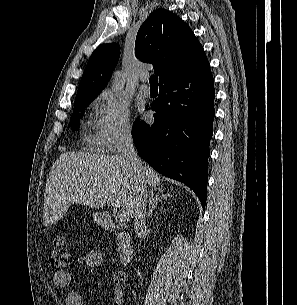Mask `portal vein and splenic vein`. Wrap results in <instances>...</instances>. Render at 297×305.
I'll use <instances>...</instances> for the list:
<instances>
[{"label": "portal vein and splenic vein", "instance_id": "18ae733b", "mask_svg": "<svg viewBox=\"0 0 297 305\" xmlns=\"http://www.w3.org/2000/svg\"><path fill=\"white\" fill-rule=\"evenodd\" d=\"M117 218H118L121 222H123V221H126V220H127L128 215H127L126 211L120 210V211L117 213Z\"/></svg>", "mask_w": 297, "mask_h": 305}]
</instances>
